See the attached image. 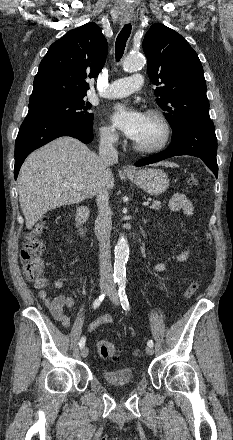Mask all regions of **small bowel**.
I'll return each instance as SVG.
<instances>
[{"instance_id": "c3829d8e", "label": "small bowel", "mask_w": 233, "mask_h": 440, "mask_svg": "<svg viewBox=\"0 0 233 440\" xmlns=\"http://www.w3.org/2000/svg\"><path fill=\"white\" fill-rule=\"evenodd\" d=\"M169 208L172 211H183L184 214L189 217L192 216L194 213L193 203L182 193H176L171 197L169 201ZM193 256H195V254L191 251V249L186 248L184 251L177 255L176 260L179 262H185ZM153 269L158 272L163 271L165 269V264H155L153 266ZM53 286L56 289H61L64 286V282L62 279H56L53 282ZM34 287L38 290V297L44 302L53 318L58 321L62 326L66 328L70 327V319L65 313L64 307L73 308L75 305L74 299L71 297H65L63 295L50 297L46 290L47 281L43 286H40L38 283H34ZM112 322V316L109 314H105L92 321L88 325L87 330L89 332H92L99 327L106 324H111Z\"/></svg>"}]
</instances>
